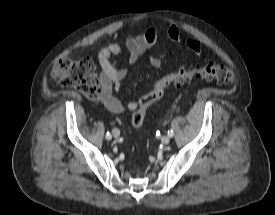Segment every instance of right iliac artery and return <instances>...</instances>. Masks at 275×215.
I'll return each mask as SVG.
<instances>
[{
	"label": "right iliac artery",
	"mask_w": 275,
	"mask_h": 215,
	"mask_svg": "<svg viewBox=\"0 0 275 215\" xmlns=\"http://www.w3.org/2000/svg\"><path fill=\"white\" fill-rule=\"evenodd\" d=\"M112 138V136H111V134L109 133V132H107V134H106V139H111Z\"/></svg>",
	"instance_id": "obj_1"
}]
</instances>
